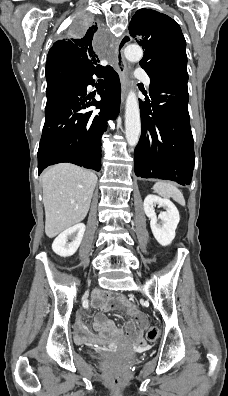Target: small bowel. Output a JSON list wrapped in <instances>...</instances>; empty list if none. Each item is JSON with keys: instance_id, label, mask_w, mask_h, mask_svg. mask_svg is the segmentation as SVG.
Returning a JSON list of instances; mask_svg holds the SVG:
<instances>
[{"instance_id": "c3829d8e", "label": "small bowel", "mask_w": 228, "mask_h": 396, "mask_svg": "<svg viewBox=\"0 0 228 396\" xmlns=\"http://www.w3.org/2000/svg\"><path fill=\"white\" fill-rule=\"evenodd\" d=\"M92 305L102 311L96 315L94 321V329L100 335H110L116 338L127 337L139 344L144 343L143 333L147 328V317L123 295L97 294L93 299ZM111 310L125 311L131 316V319L126 324L125 331L117 327L113 321L106 318L104 312ZM76 336L81 342L91 339L90 336L84 333L83 327L80 324L77 326Z\"/></svg>"}]
</instances>
